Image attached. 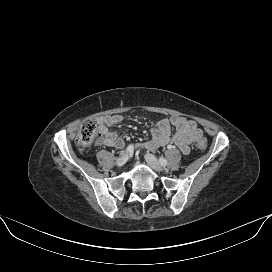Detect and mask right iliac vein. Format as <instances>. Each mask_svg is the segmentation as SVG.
Here are the masks:
<instances>
[{
    "instance_id": "1",
    "label": "right iliac vein",
    "mask_w": 272,
    "mask_h": 272,
    "mask_svg": "<svg viewBox=\"0 0 272 272\" xmlns=\"http://www.w3.org/2000/svg\"><path fill=\"white\" fill-rule=\"evenodd\" d=\"M128 160V154L126 152H122L121 156L116 160V165L118 167L123 166Z\"/></svg>"
}]
</instances>
